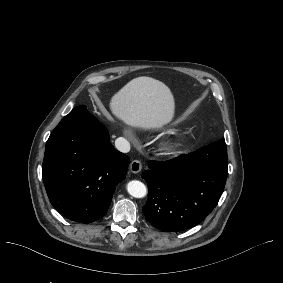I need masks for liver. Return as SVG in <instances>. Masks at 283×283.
Listing matches in <instances>:
<instances>
[{
    "label": "liver",
    "mask_w": 283,
    "mask_h": 283,
    "mask_svg": "<svg viewBox=\"0 0 283 283\" xmlns=\"http://www.w3.org/2000/svg\"><path fill=\"white\" fill-rule=\"evenodd\" d=\"M113 117L124 125L144 130H161L176 114V100L171 88L150 76H138L116 91L108 101Z\"/></svg>",
    "instance_id": "6515ba94"
}]
</instances>
